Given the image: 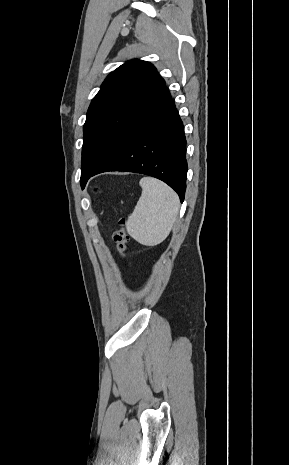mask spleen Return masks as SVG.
I'll return each mask as SVG.
<instances>
[{"instance_id":"obj_1","label":"spleen","mask_w":289,"mask_h":465,"mask_svg":"<svg viewBox=\"0 0 289 465\" xmlns=\"http://www.w3.org/2000/svg\"><path fill=\"white\" fill-rule=\"evenodd\" d=\"M142 194L128 217V234L145 246H155L169 235L178 215V195L165 183L144 177L139 182Z\"/></svg>"}]
</instances>
